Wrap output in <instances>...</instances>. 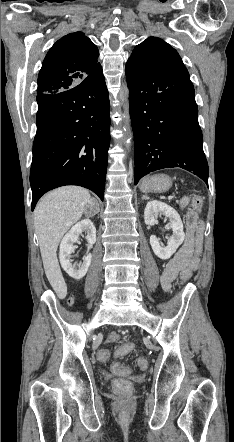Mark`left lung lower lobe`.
<instances>
[{
	"instance_id": "obj_1",
	"label": "left lung lower lobe",
	"mask_w": 234,
	"mask_h": 442,
	"mask_svg": "<svg viewBox=\"0 0 234 442\" xmlns=\"http://www.w3.org/2000/svg\"><path fill=\"white\" fill-rule=\"evenodd\" d=\"M135 185L147 173L171 167L193 172L208 185L195 92L185 66H155L128 59Z\"/></svg>"
}]
</instances>
